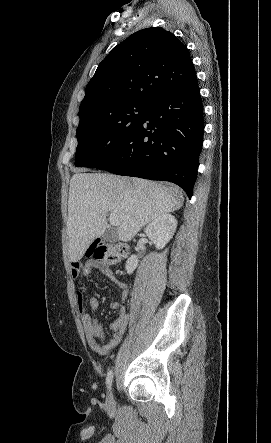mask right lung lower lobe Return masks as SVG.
<instances>
[{"instance_id":"1","label":"right lung lower lobe","mask_w":271,"mask_h":443,"mask_svg":"<svg viewBox=\"0 0 271 443\" xmlns=\"http://www.w3.org/2000/svg\"><path fill=\"white\" fill-rule=\"evenodd\" d=\"M203 104L197 80L156 96L118 150L98 169L165 180L191 198L203 142Z\"/></svg>"}]
</instances>
